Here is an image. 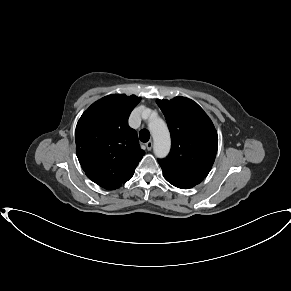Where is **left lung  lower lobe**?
Instances as JSON below:
<instances>
[{
	"label": "left lung lower lobe",
	"instance_id": "left-lung-lower-lobe-1",
	"mask_svg": "<svg viewBox=\"0 0 291 291\" xmlns=\"http://www.w3.org/2000/svg\"><path fill=\"white\" fill-rule=\"evenodd\" d=\"M166 179V178H165ZM169 183H171L172 185H174L175 187H178V188H181V189H188V187H185V186H183V185H181V184H178V183H176V182H173V181H170V180H168V179H166Z\"/></svg>",
	"mask_w": 291,
	"mask_h": 291
}]
</instances>
